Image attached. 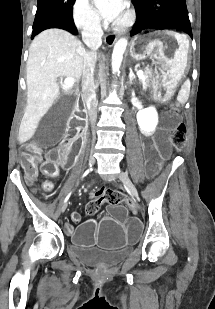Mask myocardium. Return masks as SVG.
I'll return each instance as SVG.
<instances>
[{
	"label": "myocardium",
	"mask_w": 215,
	"mask_h": 309,
	"mask_svg": "<svg viewBox=\"0 0 215 309\" xmlns=\"http://www.w3.org/2000/svg\"><path fill=\"white\" fill-rule=\"evenodd\" d=\"M132 16L133 13L128 11L127 15H125V19L112 20V28L117 30L119 34H122L124 31L126 32V29L133 24V21L130 19Z\"/></svg>",
	"instance_id": "obj_1"
}]
</instances>
